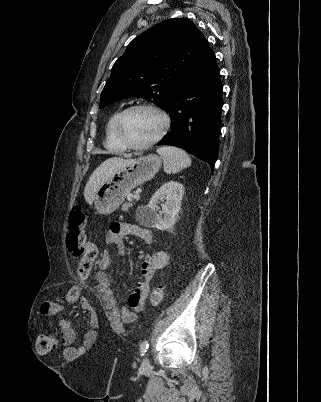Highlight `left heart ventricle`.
<instances>
[{
  "instance_id": "1",
  "label": "left heart ventricle",
  "mask_w": 321,
  "mask_h": 402,
  "mask_svg": "<svg viewBox=\"0 0 321 402\" xmlns=\"http://www.w3.org/2000/svg\"><path fill=\"white\" fill-rule=\"evenodd\" d=\"M162 119L150 110H134L126 115L122 132L134 144H143L153 139L161 130Z\"/></svg>"
}]
</instances>
